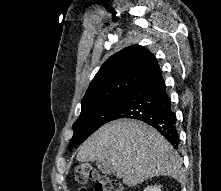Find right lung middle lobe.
Listing matches in <instances>:
<instances>
[{
  "label": "right lung middle lobe",
  "instance_id": "obj_1",
  "mask_svg": "<svg viewBox=\"0 0 221 191\" xmlns=\"http://www.w3.org/2000/svg\"><path fill=\"white\" fill-rule=\"evenodd\" d=\"M123 97L124 95L82 107L80 116L73 124L74 135L69 147L84 142L93 132L109 122Z\"/></svg>",
  "mask_w": 221,
  "mask_h": 191
}]
</instances>
